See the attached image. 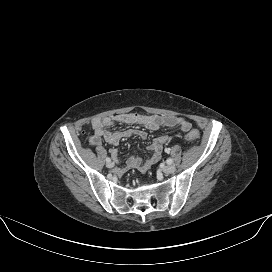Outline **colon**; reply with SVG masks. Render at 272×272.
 <instances>
[{"mask_svg": "<svg viewBox=\"0 0 272 272\" xmlns=\"http://www.w3.org/2000/svg\"><path fill=\"white\" fill-rule=\"evenodd\" d=\"M186 139L191 142H195L200 138V134L196 130H191L186 134Z\"/></svg>", "mask_w": 272, "mask_h": 272, "instance_id": "1", "label": "colon"}]
</instances>
